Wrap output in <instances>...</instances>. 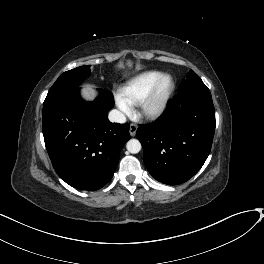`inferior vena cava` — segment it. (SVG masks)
Masks as SVG:
<instances>
[{
  "instance_id": "602c4592",
  "label": "inferior vena cava",
  "mask_w": 264,
  "mask_h": 264,
  "mask_svg": "<svg viewBox=\"0 0 264 264\" xmlns=\"http://www.w3.org/2000/svg\"><path fill=\"white\" fill-rule=\"evenodd\" d=\"M108 118L111 122H117V123H125L126 122L125 115L116 109L109 112Z\"/></svg>"
}]
</instances>
